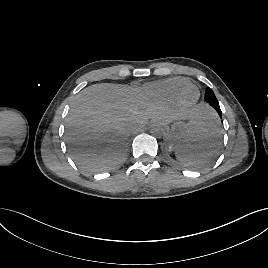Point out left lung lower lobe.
<instances>
[{
	"label": "left lung lower lobe",
	"mask_w": 268,
	"mask_h": 268,
	"mask_svg": "<svg viewBox=\"0 0 268 268\" xmlns=\"http://www.w3.org/2000/svg\"><path fill=\"white\" fill-rule=\"evenodd\" d=\"M211 106L217 111L219 117L222 118V112H221L219 104H211Z\"/></svg>",
	"instance_id": "0a47b994"
}]
</instances>
